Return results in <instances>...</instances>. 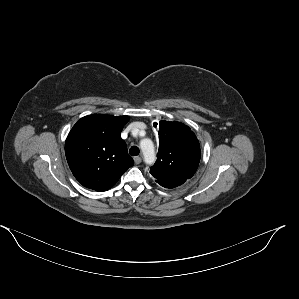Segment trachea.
I'll return each instance as SVG.
<instances>
[{"label":"trachea","mask_w":299,"mask_h":299,"mask_svg":"<svg viewBox=\"0 0 299 299\" xmlns=\"http://www.w3.org/2000/svg\"><path fill=\"white\" fill-rule=\"evenodd\" d=\"M129 153L130 155L132 156H137L139 154V148L136 147V146H132L130 149H129Z\"/></svg>","instance_id":"trachea-1"}]
</instances>
